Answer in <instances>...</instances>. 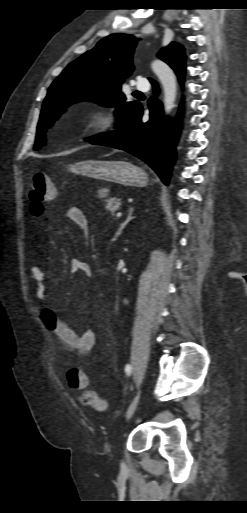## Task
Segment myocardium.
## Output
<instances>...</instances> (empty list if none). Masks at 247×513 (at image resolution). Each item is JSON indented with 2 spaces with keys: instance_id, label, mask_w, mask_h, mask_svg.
I'll return each mask as SVG.
<instances>
[{
  "instance_id": "f54148a6",
  "label": "myocardium",
  "mask_w": 247,
  "mask_h": 513,
  "mask_svg": "<svg viewBox=\"0 0 247 513\" xmlns=\"http://www.w3.org/2000/svg\"><path fill=\"white\" fill-rule=\"evenodd\" d=\"M84 127L88 130L104 132L113 127V117L103 109H92L82 118Z\"/></svg>"
}]
</instances>
